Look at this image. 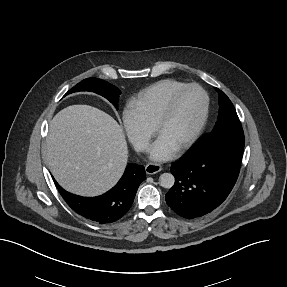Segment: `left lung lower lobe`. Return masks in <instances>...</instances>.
<instances>
[{
  "mask_svg": "<svg viewBox=\"0 0 287 287\" xmlns=\"http://www.w3.org/2000/svg\"><path fill=\"white\" fill-rule=\"evenodd\" d=\"M244 143L201 138L171 165L175 184L166 203L184 218L201 217L218 207L229 195L239 175Z\"/></svg>",
  "mask_w": 287,
  "mask_h": 287,
  "instance_id": "1",
  "label": "left lung lower lobe"
}]
</instances>
